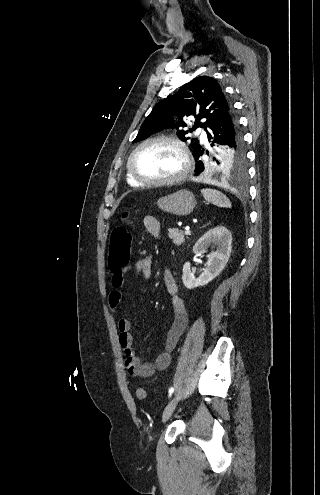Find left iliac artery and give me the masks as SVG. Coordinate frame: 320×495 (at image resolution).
Listing matches in <instances>:
<instances>
[{"instance_id":"left-iliac-artery-1","label":"left iliac artery","mask_w":320,"mask_h":495,"mask_svg":"<svg viewBox=\"0 0 320 495\" xmlns=\"http://www.w3.org/2000/svg\"><path fill=\"white\" fill-rule=\"evenodd\" d=\"M173 392H174V388H173V387H171V388L169 389V396H171V394H172Z\"/></svg>"}]
</instances>
